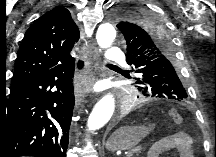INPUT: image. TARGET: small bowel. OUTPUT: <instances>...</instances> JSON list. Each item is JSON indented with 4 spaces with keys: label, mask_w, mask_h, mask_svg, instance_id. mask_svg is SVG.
<instances>
[{
    "label": "small bowel",
    "mask_w": 216,
    "mask_h": 157,
    "mask_svg": "<svg viewBox=\"0 0 216 157\" xmlns=\"http://www.w3.org/2000/svg\"><path fill=\"white\" fill-rule=\"evenodd\" d=\"M163 152L176 150L180 157H193V140L183 131L173 133L163 145Z\"/></svg>",
    "instance_id": "1"
}]
</instances>
